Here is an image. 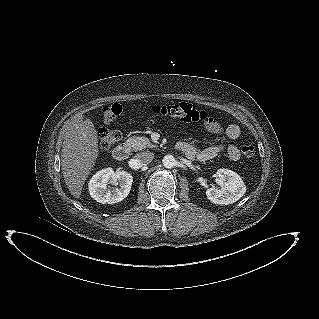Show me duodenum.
I'll return each mask as SVG.
<instances>
[{
  "label": "duodenum",
  "instance_id": "410a0bca",
  "mask_svg": "<svg viewBox=\"0 0 319 319\" xmlns=\"http://www.w3.org/2000/svg\"><path fill=\"white\" fill-rule=\"evenodd\" d=\"M176 148L185 153V148L182 144H177ZM129 152H130V147L127 143H121L120 145H118L114 151H113V157L118 160V161H122L125 160L128 156H129Z\"/></svg>",
  "mask_w": 319,
  "mask_h": 319
}]
</instances>
